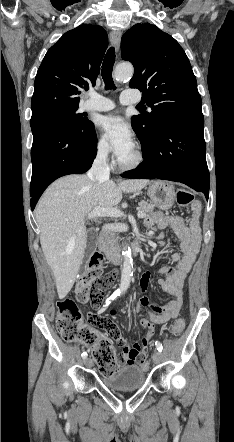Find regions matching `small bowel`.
Masks as SVG:
<instances>
[{
	"mask_svg": "<svg viewBox=\"0 0 234 442\" xmlns=\"http://www.w3.org/2000/svg\"><path fill=\"white\" fill-rule=\"evenodd\" d=\"M192 211L193 218L189 225H186L184 220L177 215L164 216L159 212L152 213L145 219L146 227L156 226L160 230L171 227L180 241L181 248L180 252L172 254V266L164 265L159 268V273L164 275V278L159 279L158 284L162 290L172 296L173 299L148 313L154 323L161 324L175 319L181 310L184 282L195 262L201 242L198 224L201 206L198 202L192 205ZM149 279L150 273L145 271L139 281V290L141 293L146 291ZM148 303V299L143 296L135 304L134 310L138 311L148 305ZM115 315L116 311H111V316ZM88 322L90 328H101L102 331H107L108 336L114 337L113 341L123 347L121 359L126 369L136 370L142 366L149 341L154 334L155 325L153 323H150L147 319L141 320V325L148 329L147 334L139 344L130 345L125 342L119 326H117L114 319H111L110 315L89 314Z\"/></svg>",
	"mask_w": 234,
	"mask_h": 442,
	"instance_id": "obj_1",
	"label": "small bowel"
}]
</instances>
